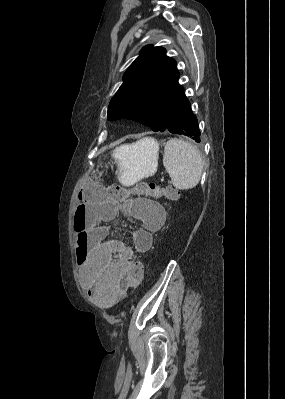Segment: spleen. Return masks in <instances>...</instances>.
Returning <instances> with one entry per match:
<instances>
[{
    "instance_id": "spleen-1",
    "label": "spleen",
    "mask_w": 285,
    "mask_h": 399,
    "mask_svg": "<svg viewBox=\"0 0 285 399\" xmlns=\"http://www.w3.org/2000/svg\"><path fill=\"white\" fill-rule=\"evenodd\" d=\"M163 165L177 189L194 188L201 179L202 157L195 146L182 139L172 138L167 141Z\"/></svg>"
}]
</instances>
